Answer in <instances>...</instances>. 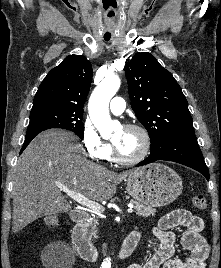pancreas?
Instances as JSON below:
<instances>
[{
	"mask_svg": "<svg viewBox=\"0 0 221 268\" xmlns=\"http://www.w3.org/2000/svg\"><path fill=\"white\" fill-rule=\"evenodd\" d=\"M130 203L136 209V214L138 216L148 217L150 215H155L156 209L151 208L150 206H146L135 200H130ZM97 225L98 222L94 218H90V221L85 224L86 233L90 238H97Z\"/></svg>",
	"mask_w": 221,
	"mask_h": 268,
	"instance_id": "cf45deb5",
	"label": "pancreas"
}]
</instances>
